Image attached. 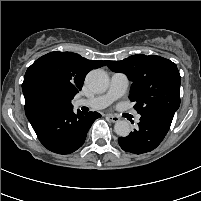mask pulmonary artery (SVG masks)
<instances>
[{
    "mask_svg": "<svg viewBox=\"0 0 201 201\" xmlns=\"http://www.w3.org/2000/svg\"><path fill=\"white\" fill-rule=\"evenodd\" d=\"M128 85L129 80L125 74L113 73L109 88L104 94L90 99H80L77 101V105L88 106L95 110L106 108L126 93ZM139 120L140 116H137L136 121L139 122Z\"/></svg>",
    "mask_w": 201,
    "mask_h": 201,
    "instance_id": "pulmonary-artery-1",
    "label": "pulmonary artery"
}]
</instances>
